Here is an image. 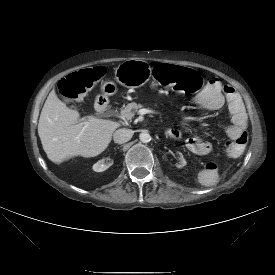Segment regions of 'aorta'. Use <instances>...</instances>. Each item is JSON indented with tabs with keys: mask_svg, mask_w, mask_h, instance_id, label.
I'll use <instances>...</instances> for the list:
<instances>
[{
	"mask_svg": "<svg viewBox=\"0 0 275 275\" xmlns=\"http://www.w3.org/2000/svg\"><path fill=\"white\" fill-rule=\"evenodd\" d=\"M139 139L143 143H148L151 140V136L148 132H141L139 135Z\"/></svg>",
	"mask_w": 275,
	"mask_h": 275,
	"instance_id": "1",
	"label": "aorta"
}]
</instances>
